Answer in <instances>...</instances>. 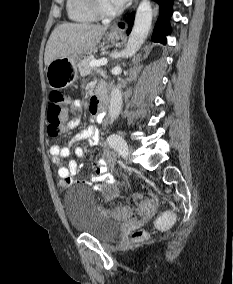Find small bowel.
I'll return each instance as SVG.
<instances>
[{
    "mask_svg": "<svg viewBox=\"0 0 233 284\" xmlns=\"http://www.w3.org/2000/svg\"><path fill=\"white\" fill-rule=\"evenodd\" d=\"M89 110L91 113V121L94 124L101 123L105 118V111L99 107L96 99H92L90 102ZM82 112V104L79 100H73L70 103V113L73 116L71 120L65 125L66 129H73L79 124L78 115ZM98 136V129L94 126H90L80 133L76 134L70 141L68 146L61 147L59 145H52L49 149L52 157L53 164L57 167L59 183L67 187L75 182L74 177L79 173L80 166L74 159H70L67 164L64 160L71 155V146L81 140L95 141ZM75 154L77 157L84 155V150L81 147L75 148ZM110 155L106 153L102 156L93 167V171L90 174L89 180L86 182L89 185L110 183L111 177L107 170V164L110 162Z\"/></svg>",
    "mask_w": 233,
    "mask_h": 284,
    "instance_id": "c3829d8e",
    "label": "small bowel"
}]
</instances>
